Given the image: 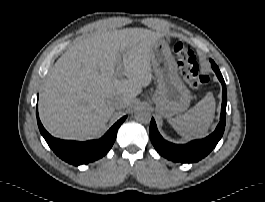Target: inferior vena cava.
<instances>
[{
  "label": "inferior vena cava",
  "mask_w": 265,
  "mask_h": 202,
  "mask_svg": "<svg viewBox=\"0 0 265 202\" xmlns=\"http://www.w3.org/2000/svg\"><path fill=\"white\" fill-rule=\"evenodd\" d=\"M109 104L114 108V109H121L123 106L122 98L120 96H113L109 100Z\"/></svg>",
  "instance_id": "602c4592"
}]
</instances>
